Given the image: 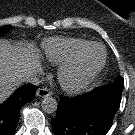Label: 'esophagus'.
I'll use <instances>...</instances> for the list:
<instances>
[{
  "mask_svg": "<svg viewBox=\"0 0 135 135\" xmlns=\"http://www.w3.org/2000/svg\"><path fill=\"white\" fill-rule=\"evenodd\" d=\"M50 95H52V92L48 88H39L36 91V96L41 97V98H44Z\"/></svg>",
  "mask_w": 135,
  "mask_h": 135,
  "instance_id": "obj_1",
  "label": "esophagus"
}]
</instances>
